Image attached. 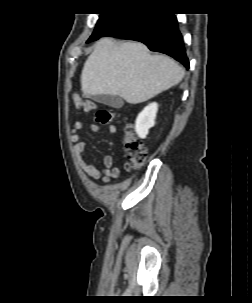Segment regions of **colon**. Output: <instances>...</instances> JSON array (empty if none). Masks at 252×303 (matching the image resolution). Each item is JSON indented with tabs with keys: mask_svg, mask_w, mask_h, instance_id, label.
<instances>
[{
	"mask_svg": "<svg viewBox=\"0 0 252 303\" xmlns=\"http://www.w3.org/2000/svg\"><path fill=\"white\" fill-rule=\"evenodd\" d=\"M73 104L77 109L91 110L96 104L93 101H82L79 96L73 98ZM114 120V112L111 110L100 109L96 113V121L100 124H108ZM124 150L127 154L129 163L126 167L129 169L133 166L142 164L147 156L146 149L142 141L136 136L133 126L129 125L124 134Z\"/></svg>",
	"mask_w": 252,
	"mask_h": 303,
	"instance_id": "obj_1",
	"label": "colon"
}]
</instances>
